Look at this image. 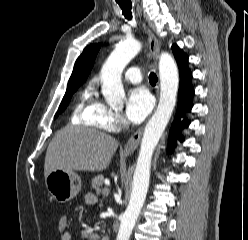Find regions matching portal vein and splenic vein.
Masks as SVG:
<instances>
[{
  "label": "portal vein and splenic vein",
  "mask_w": 248,
  "mask_h": 240,
  "mask_svg": "<svg viewBox=\"0 0 248 240\" xmlns=\"http://www.w3.org/2000/svg\"><path fill=\"white\" fill-rule=\"evenodd\" d=\"M102 194H103L104 196H108V195H109V189H108L107 187L103 188Z\"/></svg>",
  "instance_id": "1"
}]
</instances>
